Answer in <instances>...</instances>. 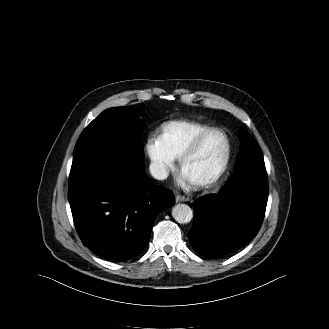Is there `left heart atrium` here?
Returning a JSON list of instances; mask_svg holds the SVG:
<instances>
[{
  "mask_svg": "<svg viewBox=\"0 0 329 329\" xmlns=\"http://www.w3.org/2000/svg\"><path fill=\"white\" fill-rule=\"evenodd\" d=\"M181 183H183L187 187L192 184V182L183 173L181 175Z\"/></svg>",
  "mask_w": 329,
  "mask_h": 329,
  "instance_id": "left-heart-atrium-1",
  "label": "left heart atrium"
}]
</instances>
